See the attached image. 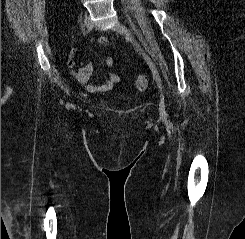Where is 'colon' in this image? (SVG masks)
<instances>
[{"mask_svg": "<svg viewBox=\"0 0 245 239\" xmlns=\"http://www.w3.org/2000/svg\"><path fill=\"white\" fill-rule=\"evenodd\" d=\"M150 83V78L148 75L141 74L135 80V86L138 90L144 91L148 88Z\"/></svg>", "mask_w": 245, "mask_h": 239, "instance_id": "5ec220e1", "label": "colon"}]
</instances>
